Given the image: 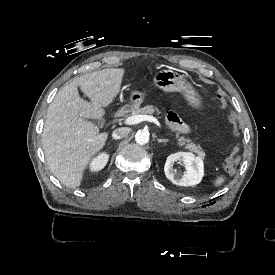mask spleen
Instances as JSON below:
<instances>
[{"mask_svg":"<svg viewBox=\"0 0 275 275\" xmlns=\"http://www.w3.org/2000/svg\"><path fill=\"white\" fill-rule=\"evenodd\" d=\"M224 181H225L224 176H219V177H217V179L215 180V186H220V185H222Z\"/></svg>","mask_w":275,"mask_h":275,"instance_id":"obj_1","label":"spleen"}]
</instances>
